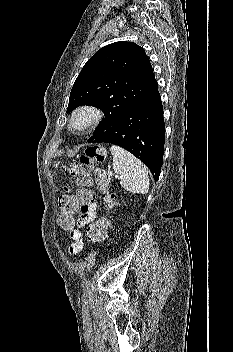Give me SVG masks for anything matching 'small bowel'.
<instances>
[{
    "instance_id": "obj_1",
    "label": "small bowel",
    "mask_w": 233,
    "mask_h": 352,
    "mask_svg": "<svg viewBox=\"0 0 233 352\" xmlns=\"http://www.w3.org/2000/svg\"><path fill=\"white\" fill-rule=\"evenodd\" d=\"M97 214V205L94 202V197L92 201L86 207H80L79 209V227H83L91 223ZM70 237L72 239V244L69 248V253L75 255L79 253L83 248V237L82 233L78 229H74L70 232Z\"/></svg>"
}]
</instances>
